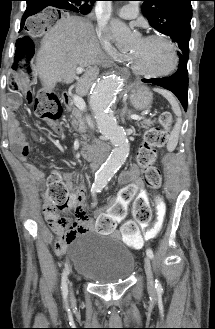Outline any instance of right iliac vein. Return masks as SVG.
Instances as JSON below:
<instances>
[{
	"label": "right iliac vein",
	"instance_id": "right-iliac-vein-1",
	"mask_svg": "<svg viewBox=\"0 0 215 329\" xmlns=\"http://www.w3.org/2000/svg\"><path fill=\"white\" fill-rule=\"evenodd\" d=\"M71 298L73 299V291L71 290Z\"/></svg>",
	"mask_w": 215,
	"mask_h": 329
}]
</instances>
